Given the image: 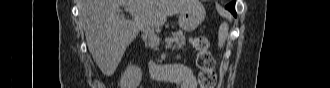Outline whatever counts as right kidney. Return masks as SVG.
I'll return each mask as SVG.
<instances>
[{"mask_svg":"<svg viewBox=\"0 0 330 88\" xmlns=\"http://www.w3.org/2000/svg\"><path fill=\"white\" fill-rule=\"evenodd\" d=\"M142 79V71L137 66H128L121 75L120 88H137Z\"/></svg>","mask_w":330,"mask_h":88,"instance_id":"obj_1","label":"right kidney"}]
</instances>
